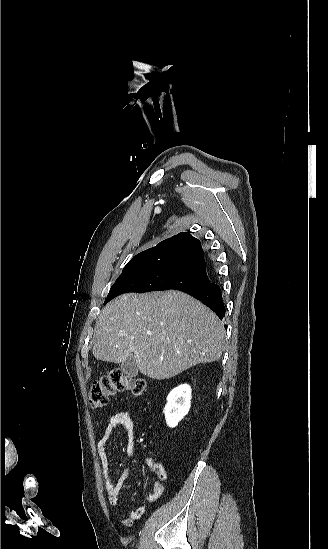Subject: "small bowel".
Instances as JSON below:
<instances>
[{
	"mask_svg": "<svg viewBox=\"0 0 328 549\" xmlns=\"http://www.w3.org/2000/svg\"><path fill=\"white\" fill-rule=\"evenodd\" d=\"M115 432H120L126 435L127 452L131 457H136L137 453L134 446V424L133 417L130 411H120L113 414L110 417L109 423L97 444V453L102 468V474L108 499L112 506L118 507L120 505L119 491L128 477V471L123 470L116 482L111 476L107 446L112 435ZM145 464L148 469L157 476V481L154 483L151 491L147 496L149 502H155L161 497L164 491L163 482L167 479V472L164 466L154 460L152 457H146ZM142 512V509H139L135 512V514L138 516L142 514Z\"/></svg>",
	"mask_w": 328,
	"mask_h": 549,
	"instance_id": "small-bowel-1",
	"label": "small bowel"
}]
</instances>
